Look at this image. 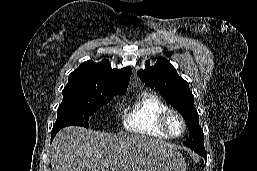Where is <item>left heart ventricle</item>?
<instances>
[{"label":"left heart ventricle","instance_id":"obj_1","mask_svg":"<svg viewBox=\"0 0 257 171\" xmlns=\"http://www.w3.org/2000/svg\"><path fill=\"white\" fill-rule=\"evenodd\" d=\"M169 127L174 134H180L182 131V125L176 116H172L169 120Z\"/></svg>","mask_w":257,"mask_h":171}]
</instances>
